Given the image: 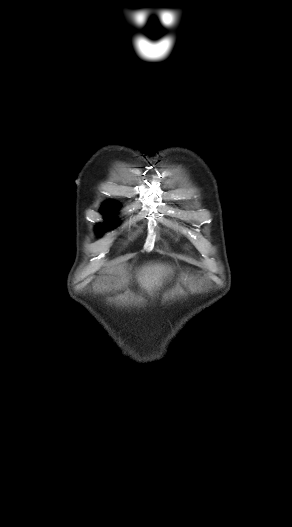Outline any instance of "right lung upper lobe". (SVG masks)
<instances>
[{"label":"right lung upper lobe","instance_id":"obj_1","mask_svg":"<svg viewBox=\"0 0 292 527\" xmlns=\"http://www.w3.org/2000/svg\"><path fill=\"white\" fill-rule=\"evenodd\" d=\"M104 205H108V206H118L119 204L117 202H106Z\"/></svg>","mask_w":292,"mask_h":527}]
</instances>
